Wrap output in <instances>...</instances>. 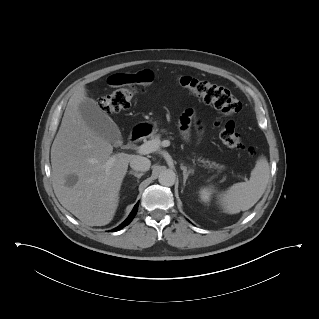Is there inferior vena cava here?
Returning <instances> with one entry per match:
<instances>
[{"label": "inferior vena cava", "mask_w": 319, "mask_h": 319, "mask_svg": "<svg viewBox=\"0 0 319 319\" xmlns=\"http://www.w3.org/2000/svg\"><path fill=\"white\" fill-rule=\"evenodd\" d=\"M150 166H151V161L146 157L136 155L130 161V167L136 171H141V172L148 171Z\"/></svg>", "instance_id": "602c4592"}]
</instances>
